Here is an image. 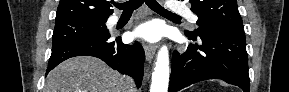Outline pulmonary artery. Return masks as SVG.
<instances>
[{"mask_svg":"<svg viewBox=\"0 0 289 92\" xmlns=\"http://www.w3.org/2000/svg\"><path fill=\"white\" fill-rule=\"evenodd\" d=\"M169 11L175 14H182L188 17V19L192 22L195 23L197 21V16L193 14L187 7L181 4L177 3H169L168 5ZM118 17H114L113 21H116Z\"/></svg>","mask_w":289,"mask_h":92,"instance_id":"e3ab8cb5","label":"pulmonary artery"}]
</instances>
